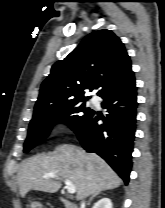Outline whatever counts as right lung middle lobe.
Returning <instances> with one entry per match:
<instances>
[{
    "label": "right lung middle lobe",
    "instance_id": "right-lung-middle-lobe-1",
    "mask_svg": "<svg viewBox=\"0 0 165 208\" xmlns=\"http://www.w3.org/2000/svg\"><path fill=\"white\" fill-rule=\"evenodd\" d=\"M85 101L62 102L35 111L29 124L24 152H28L44 140L48 136L52 125L56 123H66L72 130L78 131L93 112V110L85 107Z\"/></svg>",
    "mask_w": 165,
    "mask_h": 208
}]
</instances>
